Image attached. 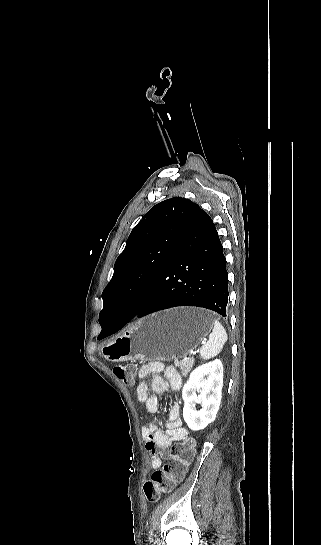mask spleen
<instances>
[{
    "label": "spleen",
    "mask_w": 321,
    "mask_h": 545,
    "mask_svg": "<svg viewBox=\"0 0 321 545\" xmlns=\"http://www.w3.org/2000/svg\"><path fill=\"white\" fill-rule=\"evenodd\" d=\"M213 331L209 335V341L201 347L199 355L201 359H213L216 355H219L220 351L223 349V345L227 343V333L222 327L219 321H213Z\"/></svg>",
    "instance_id": "spleen-1"
}]
</instances>
